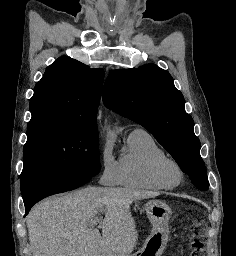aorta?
<instances>
[{"label": "aorta", "mask_w": 236, "mask_h": 256, "mask_svg": "<svg viewBox=\"0 0 236 256\" xmlns=\"http://www.w3.org/2000/svg\"><path fill=\"white\" fill-rule=\"evenodd\" d=\"M108 136H109V137H112V136H113V132H112L110 129H108Z\"/></svg>", "instance_id": "762f6f07"}]
</instances>
